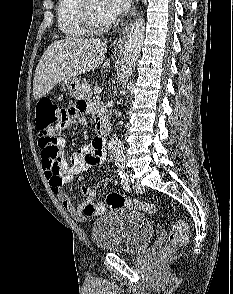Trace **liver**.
<instances>
[{
    "instance_id": "obj_1",
    "label": "liver",
    "mask_w": 233,
    "mask_h": 294,
    "mask_svg": "<svg viewBox=\"0 0 233 294\" xmlns=\"http://www.w3.org/2000/svg\"><path fill=\"white\" fill-rule=\"evenodd\" d=\"M106 52L107 43L98 39L67 38L51 43L35 71L34 98H42L65 79L96 69Z\"/></svg>"
}]
</instances>
